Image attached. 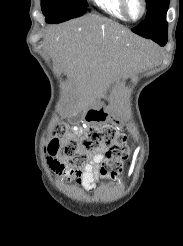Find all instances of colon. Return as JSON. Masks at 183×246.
<instances>
[{
  "instance_id": "5ec220e1",
  "label": "colon",
  "mask_w": 183,
  "mask_h": 246,
  "mask_svg": "<svg viewBox=\"0 0 183 246\" xmlns=\"http://www.w3.org/2000/svg\"><path fill=\"white\" fill-rule=\"evenodd\" d=\"M105 114L94 112V120H103ZM50 155L74 170L84 169L94 153L105 151V159L100 167V176L112 179L122 168L127 155L126 137L112 125L89 126L81 137L70 132L64 124L56 125L46 145Z\"/></svg>"
}]
</instances>
